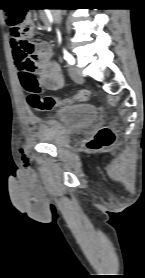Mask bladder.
Segmentation results:
<instances>
[{
    "mask_svg": "<svg viewBox=\"0 0 145 278\" xmlns=\"http://www.w3.org/2000/svg\"><path fill=\"white\" fill-rule=\"evenodd\" d=\"M97 110L88 104L61 106L40 131L39 139L47 145L61 147L69 139L83 133L97 119Z\"/></svg>",
    "mask_w": 145,
    "mask_h": 278,
    "instance_id": "31cf9c89",
    "label": "bladder"
}]
</instances>
